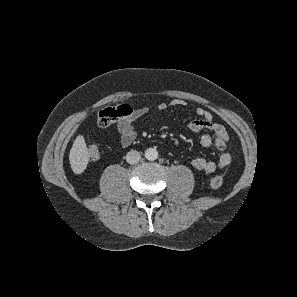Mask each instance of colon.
<instances>
[{"label":"colon","instance_id":"1","mask_svg":"<svg viewBox=\"0 0 297 297\" xmlns=\"http://www.w3.org/2000/svg\"><path fill=\"white\" fill-rule=\"evenodd\" d=\"M132 112L133 109L128 104L107 107L100 111L98 115V125L101 128H107L116 120L130 116ZM216 146L219 150H223L225 148V142L220 139L216 142ZM87 155L91 161L97 160L100 157L99 147L94 144L90 145L87 149ZM224 177V172L216 174L210 179V186L215 189L221 187L224 182Z\"/></svg>","mask_w":297,"mask_h":297}]
</instances>
